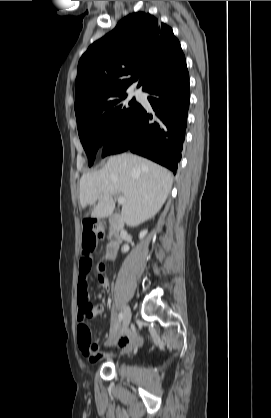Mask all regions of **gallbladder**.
Wrapping results in <instances>:
<instances>
[{
    "instance_id": "bac80fb5",
    "label": "gallbladder",
    "mask_w": 271,
    "mask_h": 418,
    "mask_svg": "<svg viewBox=\"0 0 271 418\" xmlns=\"http://www.w3.org/2000/svg\"><path fill=\"white\" fill-rule=\"evenodd\" d=\"M110 221L112 224H115V214L111 215Z\"/></svg>"
}]
</instances>
